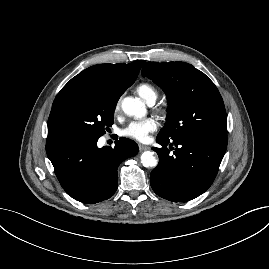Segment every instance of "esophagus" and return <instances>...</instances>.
<instances>
[{
  "mask_svg": "<svg viewBox=\"0 0 269 269\" xmlns=\"http://www.w3.org/2000/svg\"><path fill=\"white\" fill-rule=\"evenodd\" d=\"M138 147H139V150H140V151H145V150L150 149L149 146H147V145H143V144H139Z\"/></svg>",
  "mask_w": 269,
  "mask_h": 269,
  "instance_id": "1",
  "label": "esophagus"
}]
</instances>
